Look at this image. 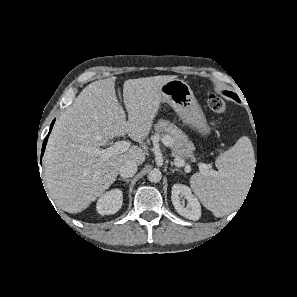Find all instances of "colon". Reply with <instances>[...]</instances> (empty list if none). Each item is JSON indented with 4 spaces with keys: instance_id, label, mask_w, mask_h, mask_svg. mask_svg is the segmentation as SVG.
Returning a JSON list of instances; mask_svg holds the SVG:
<instances>
[{
    "instance_id": "5ec220e1",
    "label": "colon",
    "mask_w": 297,
    "mask_h": 297,
    "mask_svg": "<svg viewBox=\"0 0 297 297\" xmlns=\"http://www.w3.org/2000/svg\"><path fill=\"white\" fill-rule=\"evenodd\" d=\"M209 108L216 114L224 115L227 108L223 99L215 93H209L207 98Z\"/></svg>"
}]
</instances>
